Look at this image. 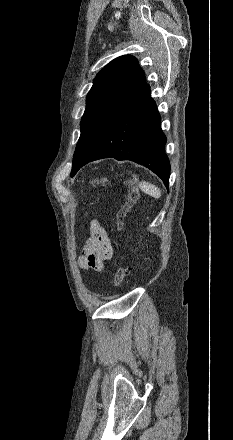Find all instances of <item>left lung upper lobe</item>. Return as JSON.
Masks as SVG:
<instances>
[{
    "instance_id": "5c2ea615",
    "label": "left lung upper lobe",
    "mask_w": 233,
    "mask_h": 440,
    "mask_svg": "<svg viewBox=\"0 0 233 440\" xmlns=\"http://www.w3.org/2000/svg\"><path fill=\"white\" fill-rule=\"evenodd\" d=\"M145 86V74L133 56H120L98 73L87 95L72 173L84 162L114 118Z\"/></svg>"
}]
</instances>
